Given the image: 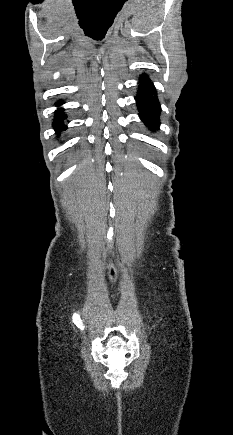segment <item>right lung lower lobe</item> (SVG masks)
I'll return each mask as SVG.
<instances>
[{"instance_id":"1","label":"right lung lower lobe","mask_w":233,"mask_h":435,"mask_svg":"<svg viewBox=\"0 0 233 435\" xmlns=\"http://www.w3.org/2000/svg\"><path fill=\"white\" fill-rule=\"evenodd\" d=\"M63 102L56 103V106H60ZM64 119H66V115L63 113V109H58L56 111V116L53 122V127L57 133L60 134L62 130H65L67 126L64 124Z\"/></svg>"}]
</instances>
